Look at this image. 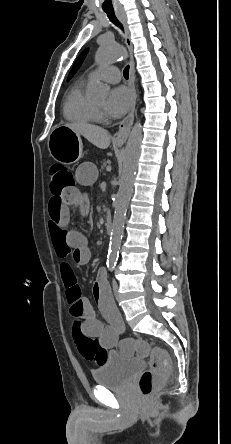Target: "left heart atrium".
Masks as SVG:
<instances>
[{"mask_svg": "<svg viewBox=\"0 0 231 444\" xmlns=\"http://www.w3.org/2000/svg\"><path fill=\"white\" fill-rule=\"evenodd\" d=\"M132 102V92L125 86H117L109 93L106 110L113 117H121L128 111Z\"/></svg>", "mask_w": 231, "mask_h": 444, "instance_id": "obj_1", "label": "left heart atrium"}]
</instances>
